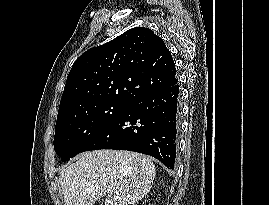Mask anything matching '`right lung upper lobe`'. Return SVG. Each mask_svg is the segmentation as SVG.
Returning a JSON list of instances; mask_svg holds the SVG:
<instances>
[{
    "instance_id": "cb5924a9",
    "label": "right lung upper lobe",
    "mask_w": 269,
    "mask_h": 205,
    "mask_svg": "<svg viewBox=\"0 0 269 205\" xmlns=\"http://www.w3.org/2000/svg\"><path fill=\"white\" fill-rule=\"evenodd\" d=\"M177 81L174 61L164 41L148 28H132L87 50L75 61L57 119L101 102L129 104Z\"/></svg>"
}]
</instances>
